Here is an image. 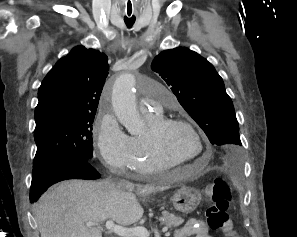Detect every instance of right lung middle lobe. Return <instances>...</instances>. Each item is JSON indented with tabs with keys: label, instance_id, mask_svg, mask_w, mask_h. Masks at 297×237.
Segmentation results:
<instances>
[{
	"label": "right lung middle lobe",
	"instance_id": "1",
	"mask_svg": "<svg viewBox=\"0 0 297 237\" xmlns=\"http://www.w3.org/2000/svg\"><path fill=\"white\" fill-rule=\"evenodd\" d=\"M94 115L48 117L36 123L34 138L37 152L33 161V175H42L43 169L62 158L93 157L92 124Z\"/></svg>",
	"mask_w": 297,
	"mask_h": 237
}]
</instances>
